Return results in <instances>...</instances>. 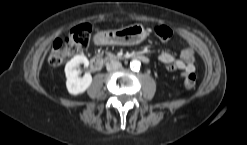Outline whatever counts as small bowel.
Returning a JSON list of instances; mask_svg holds the SVG:
<instances>
[{"label": "small bowel", "mask_w": 247, "mask_h": 145, "mask_svg": "<svg viewBox=\"0 0 247 145\" xmlns=\"http://www.w3.org/2000/svg\"><path fill=\"white\" fill-rule=\"evenodd\" d=\"M158 60L165 64L168 70H182L185 73L194 72L196 70L194 61V49L192 47H186L180 54L176 57L168 52H161L157 56Z\"/></svg>", "instance_id": "c3829d8e"}]
</instances>
